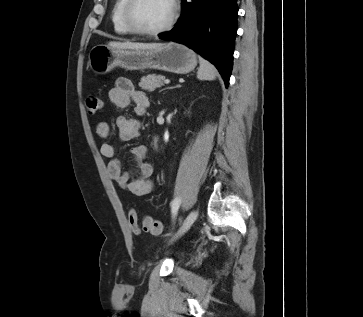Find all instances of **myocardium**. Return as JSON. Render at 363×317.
Wrapping results in <instances>:
<instances>
[{
  "label": "myocardium",
  "mask_w": 363,
  "mask_h": 317,
  "mask_svg": "<svg viewBox=\"0 0 363 317\" xmlns=\"http://www.w3.org/2000/svg\"><path fill=\"white\" fill-rule=\"evenodd\" d=\"M137 2L138 0H126V3L123 7V21L125 26L128 28V30L131 33L145 37H154L164 34L165 32L169 31L172 28L178 15L177 0H170L171 13L168 20L160 28L154 30L142 29L135 23L133 18V10Z\"/></svg>",
  "instance_id": "1"
}]
</instances>
